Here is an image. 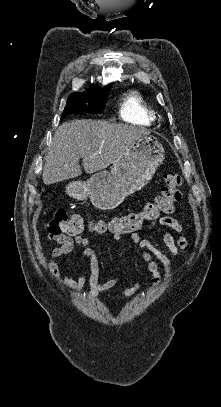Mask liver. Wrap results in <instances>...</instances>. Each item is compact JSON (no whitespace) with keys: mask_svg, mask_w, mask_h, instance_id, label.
I'll list each match as a JSON object with an SVG mask.
<instances>
[{"mask_svg":"<svg viewBox=\"0 0 221 407\" xmlns=\"http://www.w3.org/2000/svg\"><path fill=\"white\" fill-rule=\"evenodd\" d=\"M149 131L103 120L81 119L62 123L56 130L43 168L46 185L92 174L113 164L129 146Z\"/></svg>","mask_w":221,"mask_h":407,"instance_id":"1","label":"liver"}]
</instances>
